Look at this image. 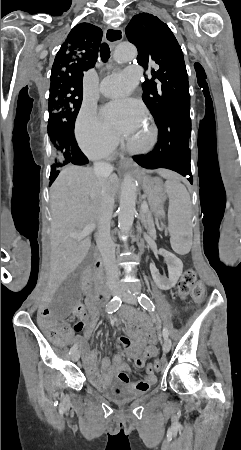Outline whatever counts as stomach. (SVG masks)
Returning a JSON list of instances; mask_svg holds the SVG:
<instances>
[{
    "label": "stomach",
    "instance_id": "1",
    "mask_svg": "<svg viewBox=\"0 0 241 450\" xmlns=\"http://www.w3.org/2000/svg\"><path fill=\"white\" fill-rule=\"evenodd\" d=\"M141 184L151 209L153 211L159 210L165 201L164 188L160 179L143 176L141 178Z\"/></svg>",
    "mask_w": 241,
    "mask_h": 450
}]
</instances>
